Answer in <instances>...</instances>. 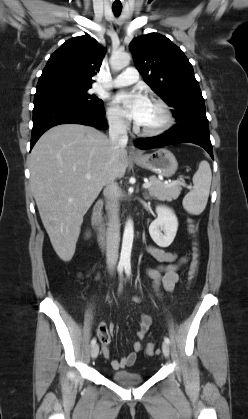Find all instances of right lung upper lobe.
Returning <instances> with one entry per match:
<instances>
[{
    "instance_id": "right-lung-upper-lobe-1",
    "label": "right lung upper lobe",
    "mask_w": 248,
    "mask_h": 419,
    "mask_svg": "<svg viewBox=\"0 0 248 419\" xmlns=\"http://www.w3.org/2000/svg\"><path fill=\"white\" fill-rule=\"evenodd\" d=\"M105 51L88 35L74 37L49 58L37 84V91L60 88H91Z\"/></svg>"
}]
</instances>
